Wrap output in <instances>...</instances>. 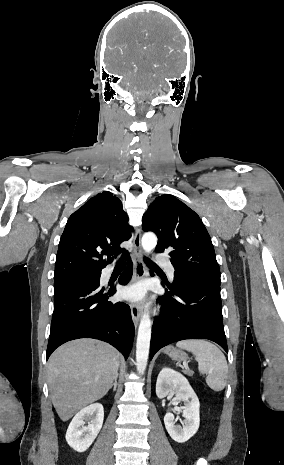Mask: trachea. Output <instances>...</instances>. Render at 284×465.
<instances>
[{"label": "trachea", "instance_id": "3493384b", "mask_svg": "<svg viewBox=\"0 0 284 465\" xmlns=\"http://www.w3.org/2000/svg\"><path fill=\"white\" fill-rule=\"evenodd\" d=\"M144 261L147 263V265L150 267V268H153V269H157V270H160L159 267L153 263L151 260H149V258L145 257L144 258ZM118 265H124V263L122 261H120L118 263Z\"/></svg>", "mask_w": 284, "mask_h": 465}]
</instances>
